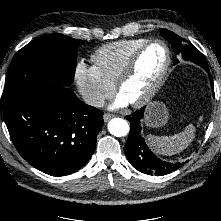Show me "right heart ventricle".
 Instances as JSON below:
<instances>
[{
	"label": "right heart ventricle",
	"instance_id": "obj_1",
	"mask_svg": "<svg viewBox=\"0 0 221 221\" xmlns=\"http://www.w3.org/2000/svg\"><path fill=\"white\" fill-rule=\"evenodd\" d=\"M146 41L145 38H134L104 44L92 55L94 66L104 79L114 85L129 57Z\"/></svg>",
	"mask_w": 221,
	"mask_h": 221
}]
</instances>
